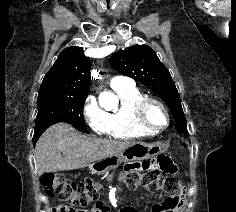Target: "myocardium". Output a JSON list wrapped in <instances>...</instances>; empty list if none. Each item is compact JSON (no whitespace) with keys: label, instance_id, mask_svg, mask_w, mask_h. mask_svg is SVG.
Returning a JSON list of instances; mask_svg holds the SVG:
<instances>
[{"label":"myocardium","instance_id":"myocardium-1","mask_svg":"<svg viewBox=\"0 0 236 212\" xmlns=\"http://www.w3.org/2000/svg\"><path fill=\"white\" fill-rule=\"evenodd\" d=\"M153 106L158 107L163 112L165 116L164 125L156 126L151 122L149 112ZM135 120L140 127L153 133H159L169 126L171 118L166 105L162 101L153 97H144L135 107Z\"/></svg>","mask_w":236,"mask_h":212}]
</instances>
